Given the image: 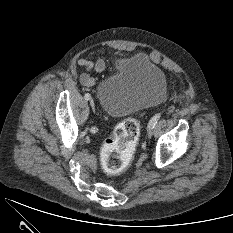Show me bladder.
<instances>
[{"label":"bladder","instance_id":"bladder-1","mask_svg":"<svg viewBox=\"0 0 233 233\" xmlns=\"http://www.w3.org/2000/svg\"><path fill=\"white\" fill-rule=\"evenodd\" d=\"M168 91L164 72L144 54L121 59L116 72L97 87L103 111L125 117L161 103Z\"/></svg>","mask_w":233,"mask_h":233}]
</instances>
